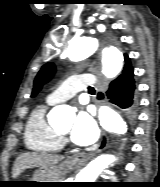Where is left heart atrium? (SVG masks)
I'll use <instances>...</instances> for the list:
<instances>
[{"instance_id":"obj_1","label":"left heart atrium","mask_w":160,"mask_h":187,"mask_svg":"<svg viewBox=\"0 0 160 187\" xmlns=\"http://www.w3.org/2000/svg\"><path fill=\"white\" fill-rule=\"evenodd\" d=\"M99 137V129L87 110L78 113L71 130V140L81 146L93 144Z\"/></svg>"}]
</instances>
